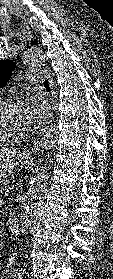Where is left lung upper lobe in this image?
<instances>
[{"mask_svg": "<svg viewBox=\"0 0 113 279\" xmlns=\"http://www.w3.org/2000/svg\"><path fill=\"white\" fill-rule=\"evenodd\" d=\"M31 45H37V41L34 40ZM14 68L15 63L13 60H0V86H3L8 81Z\"/></svg>", "mask_w": 113, "mask_h": 279, "instance_id": "1", "label": "left lung upper lobe"}]
</instances>
